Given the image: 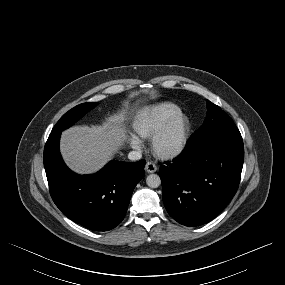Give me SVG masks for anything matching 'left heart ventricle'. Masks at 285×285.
<instances>
[{
  "label": "left heart ventricle",
  "instance_id": "1",
  "mask_svg": "<svg viewBox=\"0 0 285 285\" xmlns=\"http://www.w3.org/2000/svg\"><path fill=\"white\" fill-rule=\"evenodd\" d=\"M182 132V123H176L170 130L168 136L166 137L164 144L166 146H173L179 139Z\"/></svg>",
  "mask_w": 285,
  "mask_h": 285
}]
</instances>
